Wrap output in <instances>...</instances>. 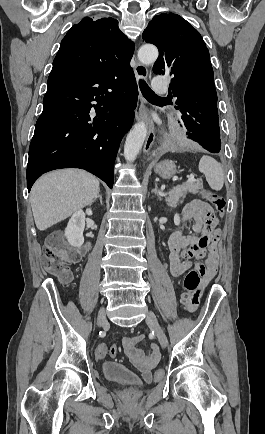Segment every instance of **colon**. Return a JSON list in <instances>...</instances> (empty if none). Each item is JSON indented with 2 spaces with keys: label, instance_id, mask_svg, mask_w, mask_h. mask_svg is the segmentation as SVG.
Wrapping results in <instances>:
<instances>
[{
  "label": "colon",
  "instance_id": "obj_1",
  "mask_svg": "<svg viewBox=\"0 0 265 434\" xmlns=\"http://www.w3.org/2000/svg\"><path fill=\"white\" fill-rule=\"evenodd\" d=\"M206 195L211 202V205L215 208L220 216L225 213L226 202L224 197L214 191H207ZM64 247L60 243V236L57 235L48 240L47 245L44 248V259H43V269L45 272L52 276H57L63 285H67L72 280V272L68 268L70 263L77 260L76 254L63 253ZM183 278V284L185 287V293L182 295V302L188 311H191V294L194 293L195 286H201L202 280L204 278L199 277V270H195L194 267L188 270ZM117 354V349L115 347H109L105 343H101L96 351L98 359H103L107 355L114 356ZM163 375V370L158 369L154 373L156 380L160 379ZM131 395L135 393V390H129ZM132 400V397H129Z\"/></svg>",
  "mask_w": 265,
  "mask_h": 434
}]
</instances>
